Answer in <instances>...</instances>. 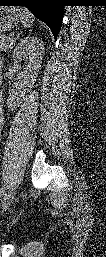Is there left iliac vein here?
Here are the masks:
<instances>
[{
	"mask_svg": "<svg viewBox=\"0 0 106 257\" xmlns=\"http://www.w3.org/2000/svg\"><path fill=\"white\" fill-rule=\"evenodd\" d=\"M14 193L12 190L8 191L7 194L5 195L4 199H3V211H6L13 199Z\"/></svg>",
	"mask_w": 106,
	"mask_h": 257,
	"instance_id": "left-iliac-vein-1",
	"label": "left iliac vein"
}]
</instances>
